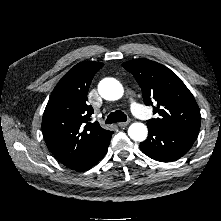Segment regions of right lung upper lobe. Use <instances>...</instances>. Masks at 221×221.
<instances>
[{
  "mask_svg": "<svg viewBox=\"0 0 221 221\" xmlns=\"http://www.w3.org/2000/svg\"><path fill=\"white\" fill-rule=\"evenodd\" d=\"M99 62H80L71 68L54 88L42 119L43 136L49 150L64 165L90 153L103 144L112 131L90 123L93 108L87 93Z\"/></svg>",
  "mask_w": 221,
  "mask_h": 221,
  "instance_id": "1",
  "label": "right lung upper lobe"
}]
</instances>
